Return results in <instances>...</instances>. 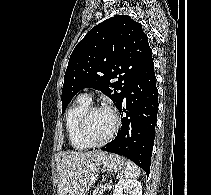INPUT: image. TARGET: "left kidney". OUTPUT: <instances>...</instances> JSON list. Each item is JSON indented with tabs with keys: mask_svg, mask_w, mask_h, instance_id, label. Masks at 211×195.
<instances>
[{
	"mask_svg": "<svg viewBox=\"0 0 211 195\" xmlns=\"http://www.w3.org/2000/svg\"><path fill=\"white\" fill-rule=\"evenodd\" d=\"M113 195H142V185L133 179H121L116 184Z\"/></svg>",
	"mask_w": 211,
	"mask_h": 195,
	"instance_id": "obj_1",
	"label": "left kidney"
}]
</instances>
